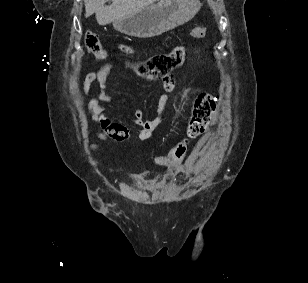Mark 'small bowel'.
Returning a JSON list of instances; mask_svg holds the SVG:
<instances>
[{
	"instance_id": "1",
	"label": "small bowel",
	"mask_w": 308,
	"mask_h": 283,
	"mask_svg": "<svg viewBox=\"0 0 308 283\" xmlns=\"http://www.w3.org/2000/svg\"><path fill=\"white\" fill-rule=\"evenodd\" d=\"M122 49L128 54L133 53L131 48L123 47ZM111 71L112 66L105 65L98 71L89 72L84 78L82 91L85 95H88L94 83H97L99 88L98 96L96 98H92L87 103V111L90 119L100 125V130L96 132V137L100 141H125L130 136L129 128L120 123L112 121L106 113L107 104L111 101V96L106 92L108 78ZM164 87L166 92H170L173 89V85L170 86L165 84ZM166 100V94H162L158 102V114L153 119H146L144 112L141 109L134 111V130L137 132L140 139L144 140L150 138L154 129L162 121ZM91 149L96 151L98 149V145L92 144ZM195 170L196 166L191 160H188L187 162L177 167L178 173L191 174Z\"/></svg>"
}]
</instances>
